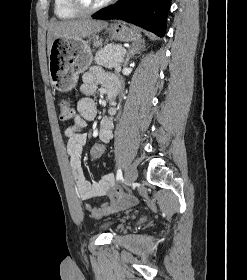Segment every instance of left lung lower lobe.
<instances>
[{
	"label": "left lung lower lobe",
	"mask_w": 247,
	"mask_h": 280,
	"mask_svg": "<svg viewBox=\"0 0 247 280\" xmlns=\"http://www.w3.org/2000/svg\"><path fill=\"white\" fill-rule=\"evenodd\" d=\"M170 5L171 0H119L93 18L125 20L163 37Z\"/></svg>",
	"instance_id": "obj_1"
}]
</instances>
